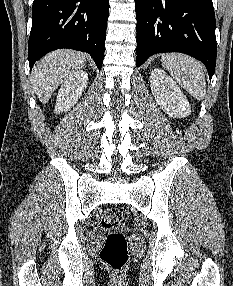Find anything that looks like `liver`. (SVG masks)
<instances>
[{"label":"liver","instance_id":"1","mask_svg":"<svg viewBox=\"0 0 233 286\" xmlns=\"http://www.w3.org/2000/svg\"><path fill=\"white\" fill-rule=\"evenodd\" d=\"M87 55L64 49L51 52L32 71L31 82L42 104H46L58 86L75 71L83 68Z\"/></svg>","mask_w":233,"mask_h":286}]
</instances>
